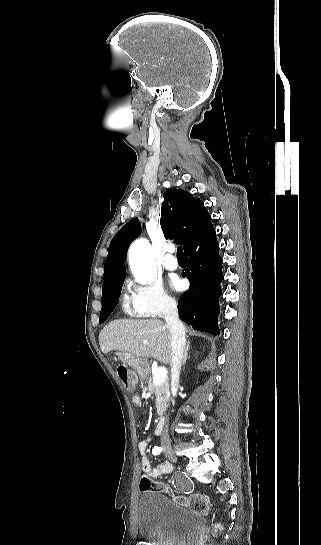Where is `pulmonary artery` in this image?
Listing matches in <instances>:
<instances>
[{
    "mask_svg": "<svg viewBox=\"0 0 321 545\" xmlns=\"http://www.w3.org/2000/svg\"><path fill=\"white\" fill-rule=\"evenodd\" d=\"M162 266L166 270L173 271V270H176L178 268V262H177V260L166 259V260H163Z\"/></svg>",
    "mask_w": 321,
    "mask_h": 545,
    "instance_id": "1",
    "label": "pulmonary artery"
}]
</instances>
